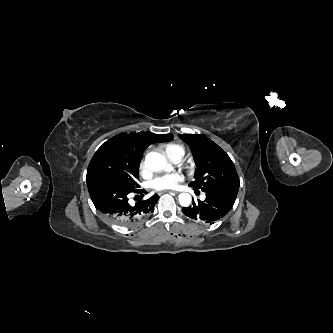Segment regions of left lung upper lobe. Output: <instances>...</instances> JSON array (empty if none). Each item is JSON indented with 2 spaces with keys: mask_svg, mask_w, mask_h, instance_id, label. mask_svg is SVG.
Instances as JSON below:
<instances>
[{
  "mask_svg": "<svg viewBox=\"0 0 333 333\" xmlns=\"http://www.w3.org/2000/svg\"><path fill=\"white\" fill-rule=\"evenodd\" d=\"M178 136L189 145L196 164L195 180L189 185L205 193L237 195L239 177L227 153L202 134H179Z\"/></svg>",
  "mask_w": 333,
  "mask_h": 333,
  "instance_id": "left-lung-upper-lobe-1",
  "label": "left lung upper lobe"
}]
</instances>
